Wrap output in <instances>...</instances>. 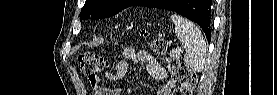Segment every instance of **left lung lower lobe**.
<instances>
[{
    "instance_id": "left-lung-lower-lobe-1",
    "label": "left lung lower lobe",
    "mask_w": 277,
    "mask_h": 95,
    "mask_svg": "<svg viewBox=\"0 0 277 95\" xmlns=\"http://www.w3.org/2000/svg\"><path fill=\"white\" fill-rule=\"evenodd\" d=\"M133 6L159 8V0H138ZM211 0H177L173 5L165 8L175 11L196 22L204 31L208 41L211 40Z\"/></svg>"
}]
</instances>
